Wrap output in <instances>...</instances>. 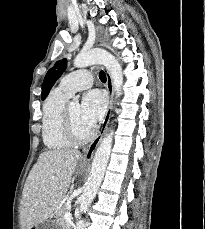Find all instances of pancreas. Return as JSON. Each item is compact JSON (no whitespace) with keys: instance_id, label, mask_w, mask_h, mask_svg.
<instances>
[{"instance_id":"obj_1","label":"pancreas","mask_w":205,"mask_h":229,"mask_svg":"<svg viewBox=\"0 0 205 229\" xmlns=\"http://www.w3.org/2000/svg\"><path fill=\"white\" fill-rule=\"evenodd\" d=\"M70 208L67 205L62 206L55 216L57 224L60 226V229H71V224L64 219V214L69 212Z\"/></svg>"}]
</instances>
